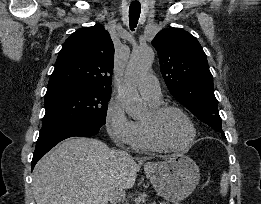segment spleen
Instances as JSON below:
<instances>
[{"label": "spleen", "instance_id": "spleen-1", "mask_svg": "<svg viewBox=\"0 0 261 204\" xmlns=\"http://www.w3.org/2000/svg\"><path fill=\"white\" fill-rule=\"evenodd\" d=\"M229 185V177L226 172L222 173L221 181H220V193L222 195H226L228 191Z\"/></svg>", "mask_w": 261, "mask_h": 204}]
</instances>
